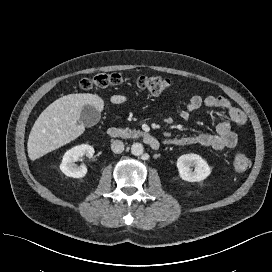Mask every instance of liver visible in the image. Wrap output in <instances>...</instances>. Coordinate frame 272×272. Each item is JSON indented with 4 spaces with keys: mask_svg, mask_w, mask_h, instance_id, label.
<instances>
[{
    "mask_svg": "<svg viewBox=\"0 0 272 272\" xmlns=\"http://www.w3.org/2000/svg\"><path fill=\"white\" fill-rule=\"evenodd\" d=\"M110 100L113 104H121L127 98L114 95ZM85 105H92L101 112L104 101L96 94L79 93L63 96L51 103L31 129L27 143L29 158L36 160L78 138L85 130L80 122Z\"/></svg>",
    "mask_w": 272,
    "mask_h": 272,
    "instance_id": "1",
    "label": "liver"
}]
</instances>
